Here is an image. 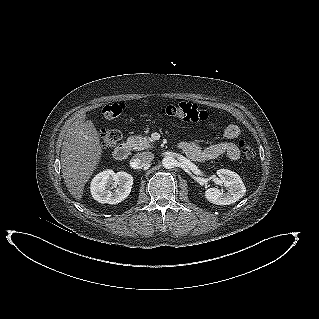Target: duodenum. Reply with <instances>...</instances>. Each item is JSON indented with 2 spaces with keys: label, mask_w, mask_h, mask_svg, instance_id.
<instances>
[{
  "label": "duodenum",
  "mask_w": 319,
  "mask_h": 319,
  "mask_svg": "<svg viewBox=\"0 0 319 319\" xmlns=\"http://www.w3.org/2000/svg\"><path fill=\"white\" fill-rule=\"evenodd\" d=\"M180 148L182 149L181 145H180ZM129 153H130L129 144L125 142L119 144L113 151V155L116 160H125L129 156Z\"/></svg>",
  "instance_id": "obj_1"
}]
</instances>
